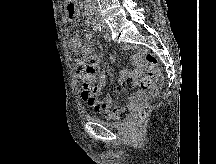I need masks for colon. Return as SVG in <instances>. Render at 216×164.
I'll list each match as a JSON object with an SVG mask.
<instances>
[{"mask_svg": "<svg viewBox=\"0 0 216 164\" xmlns=\"http://www.w3.org/2000/svg\"><path fill=\"white\" fill-rule=\"evenodd\" d=\"M156 66H157V59L156 57L148 53L145 56V68L146 73L143 79L139 82L140 87L142 89L149 88L156 79ZM81 70L84 71H91L92 69L89 66L81 65ZM137 84V81L133 79H127L122 83V86L126 89L133 88ZM150 111V107L148 105H143L137 112V121L142 122L146 119Z\"/></svg>", "mask_w": 216, "mask_h": 164, "instance_id": "colon-1", "label": "colon"}]
</instances>
